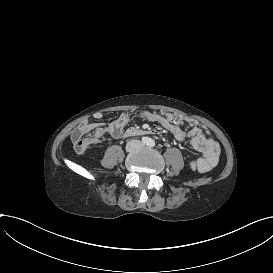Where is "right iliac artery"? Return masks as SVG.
<instances>
[{
  "instance_id": "1",
  "label": "right iliac artery",
  "mask_w": 273,
  "mask_h": 273,
  "mask_svg": "<svg viewBox=\"0 0 273 273\" xmlns=\"http://www.w3.org/2000/svg\"><path fill=\"white\" fill-rule=\"evenodd\" d=\"M149 141H150V138H148V137H143V138H142V142H143L144 144H148Z\"/></svg>"
}]
</instances>
